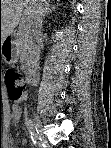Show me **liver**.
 I'll use <instances>...</instances> for the list:
<instances>
[{
  "mask_svg": "<svg viewBox=\"0 0 111 148\" xmlns=\"http://www.w3.org/2000/svg\"><path fill=\"white\" fill-rule=\"evenodd\" d=\"M43 0H1V41L12 33L22 19L30 20Z\"/></svg>",
  "mask_w": 111,
  "mask_h": 148,
  "instance_id": "6515ba94",
  "label": "liver"
}]
</instances>
